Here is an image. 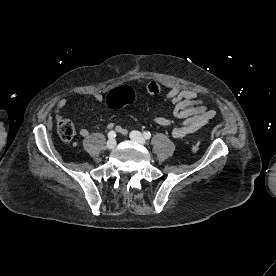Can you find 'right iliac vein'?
<instances>
[{
    "mask_svg": "<svg viewBox=\"0 0 276 276\" xmlns=\"http://www.w3.org/2000/svg\"><path fill=\"white\" fill-rule=\"evenodd\" d=\"M115 146H116V140L113 138L109 139L106 143V147L109 150L113 149Z\"/></svg>",
    "mask_w": 276,
    "mask_h": 276,
    "instance_id": "63e3f726",
    "label": "right iliac vein"
}]
</instances>
